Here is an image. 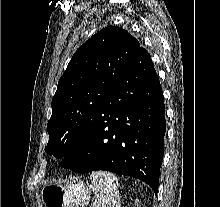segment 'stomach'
I'll return each instance as SVG.
<instances>
[{
	"instance_id": "1",
	"label": "stomach",
	"mask_w": 220,
	"mask_h": 207,
	"mask_svg": "<svg viewBox=\"0 0 220 207\" xmlns=\"http://www.w3.org/2000/svg\"><path fill=\"white\" fill-rule=\"evenodd\" d=\"M91 191V185L73 179L65 185H45L41 199L45 207H84L89 202Z\"/></svg>"
}]
</instances>
